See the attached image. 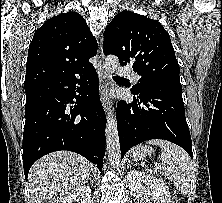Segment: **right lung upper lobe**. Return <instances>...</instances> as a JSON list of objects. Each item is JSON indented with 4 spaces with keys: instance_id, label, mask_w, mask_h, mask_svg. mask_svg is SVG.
<instances>
[{
    "instance_id": "obj_1",
    "label": "right lung upper lobe",
    "mask_w": 222,
    "mask_h": 203,
    "mask_svg": "<svg viewBox=\"0 0 222 203\" xmlns=\"http://www.w3.org/2000/svg\"><path fill=\"white\" fill-rule=\"evenodd\" d=\"M96 53V39L79 13L67 12L50 18L37 29L30 43L25 90L89 71L93 68L89 59Z\"/></svg>"
}]
</instances>
